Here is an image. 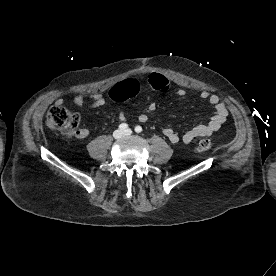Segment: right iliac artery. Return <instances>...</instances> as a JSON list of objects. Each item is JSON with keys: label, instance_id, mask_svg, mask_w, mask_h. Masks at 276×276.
Listing matches in <instances>:
<instances>
[{"label": "right iliac artery", "instance_id": "82829eb1", "mask_svg": "<svg viewBox=\"0 0 276 276\" xmlns=\"http://www.w3.org/2000/svg\"><path fill=\"white\" fill-rule=\"evenodd\" d=\"M119 129L124 130V131L128 130V125L126 123H122V124L119 125Z\"/></svg>", "mask_w": 276, "mask_h": 276}]
</instances>
